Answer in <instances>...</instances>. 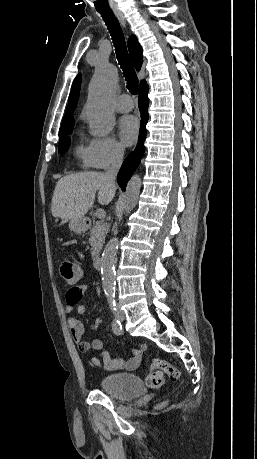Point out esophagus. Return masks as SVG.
<instances>
[{
	"instance_id": "esophagus-1",
	"label": "esophagus",
	"mask_w": 257,
	"mask_h": 459,
	"mask_svg": "<svg viewBox=\"0 0 257 459\" xmlns=\"http://www.w3.org/2000/svg\"><path fill=\"white\" fill-rule=\"evenodd\" d=\"M114 14L117 17V19L119 20V22L121 23V25L126 28L127 27V22H126V19H125L123 13L120 10H114Z\"/></svg>"
}]
</instances>
